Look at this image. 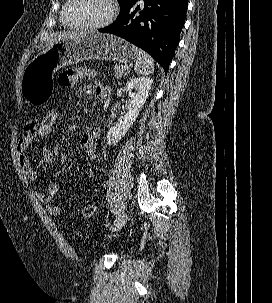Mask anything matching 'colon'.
Listing matches in <instances>:
<instances>
[{"label":"colon","mask_w":272,"mask_h":303,"mask_svg":"<svg viewBox=\"0 0 272 303\" xmlns=\"http://www.w3.org/2000/svg\"><path fill=\"white\" fill-rule=\"evenodd\" d=\"M60 120V110L54 105L49 107L41 119L38 121L37 133L39 137L42 138H50L53 136L55 131L57 130L58 124ZM96 211V207L94 205L85 206L81 214L83 217L88 218L93 216Z\"/></svg>","instance_id":"5ec220e1"}]
</instances>
